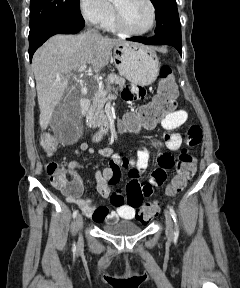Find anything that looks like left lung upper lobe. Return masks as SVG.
I'll use <instances>...</instances> for the list:
<instances>
[{"mask_svg":"<svg viewBox=\"0 0 240 288\" xmlns=\"http://www.w3.org/2000/svg\"><path fill=\"white\" fill-rule=\"evenodd\" d=\"M156 10L155 33L181 32L176 0H151Z\"/></svg>","mask_w":240,"mask_h":288,"instance_id":"obj_1","label":"left lung upper lobe"}]
</instances>
